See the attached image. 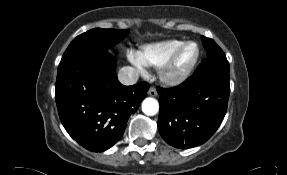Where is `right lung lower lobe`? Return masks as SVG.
I'll list each match as a JSON object with an SVG mask.
<instances>
[{"instance_id": "98d812e1", "label": "right lung lower lobe", "mask_w": 287, "mask_h": 175, "mask_svg": "<svg viewBox=\"0 0 287 175\" xmlns=\"http://www.w3.org/2000/svg\"><path fill=\"white\" fill-rule=\"evenodd\" d=\"M115 64L107 50H94L58 66L59 118L68 134L90 151L102 152L117 143L130 115L147 96L146 82L122 85Z\"/></svg>"}]
</instances>
